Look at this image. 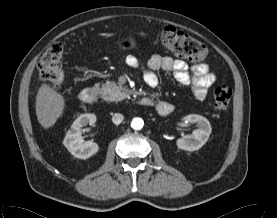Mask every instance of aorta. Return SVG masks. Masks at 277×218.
I'll use <instances>...</instances> for the list:
<instances>
[{
  "mask_svg": "<svg viewBox=\"0 0 277 218\" xmlns=\"http://www.w3.org/2000/svg\"><path fill=\"white\" fill-rule=\"evenodd\" d=\"M143 125H144V121H143V119H141L139 117L133 118V120L131 122V127L134 130H140V129H142Z\"/></svg>",
  "mask_w": 277,
  "mask_h": 218,
  "instance_id": "aorta-1",
  "label": "aorta"
}]
</instances>
